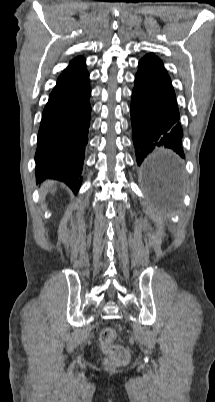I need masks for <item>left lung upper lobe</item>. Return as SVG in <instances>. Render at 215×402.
<instances>
[{
  "instance_id": "1",
  "label": "left lung upper lobe",
  "mask_w": 215,
  "mask_h": 402,
  "mask_svg": "<svg viewBox=\"0 0 215 402\" xmlns=\"http://www.w3.org/2000/svg\"><path fill=\"white\" fill-rule=\"evenodd\" d=\"M146 56H147V57H153V58L159 59L157 56H155L154 54H151V53H150V54H147ZM159 60H160V59H159Z\"/></svg>"
}]
</instances>
